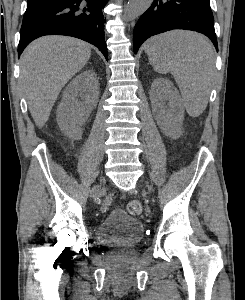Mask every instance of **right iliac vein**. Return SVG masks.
<instances>
[{"label":"right iliac vein","instance_id":"right-iliac-vein-1","mask_svg":"<svg viewBox=\"0 0 245 300\" xmlns=\"http://www.w3.org/2000/svg\"><path fill=\"white\" fill-rule=\"evenodd\" d=\"M99 192V188L98 187H95L93 188L92 192H91V196L92 197H95Z\"/></svg>","mask_w":245,"mask_h":300}]
</instances>
